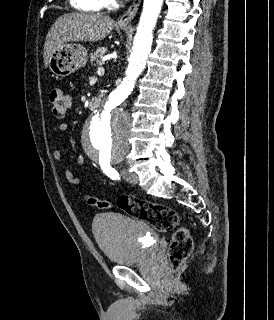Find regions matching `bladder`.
<instances>
[{
  "instance_id": "1",
  "label": "bladder",
  "mask_w": 274,
  "mask_h": 320,
  "mask_svg": "<svg viewBox=\"0 0 274 320\" xmlns=\"http://www.w3.org/2000/svg\"><path fill=\"white\" fill-rule=\"evenodd\" d=\"M92 233L105 258L118 266L149 261L158 244V236L150 225L114 213L97 215L92 222Z\"/></svg>"
}]
</instances>
